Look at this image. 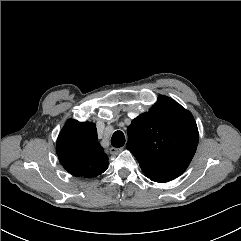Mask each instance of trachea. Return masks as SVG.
Here are the masks:
<instances>
[{"label":"trachea","mask_w":241,"mask_h":241,"mask_svg":"<svg viewBox=\"0 0 241 241\" xmlns=\"http://www.w3.org/2000/svg\"><path fill=\"white\" fill-rule=\"evenodd\" d=\"M111 144L116 148L122 147L125 144V136L122 131H116L112 135Z\"/></svg>","instance_id":"obj_1"}]
</instances>
